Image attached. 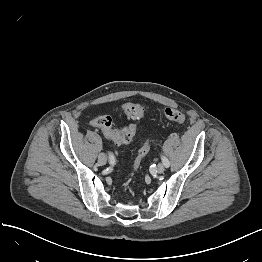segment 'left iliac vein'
Wrapping results in <instances>:
<instances>
[{
	"mask_svg": "<svg viewBox=\"0 0 262 262\" xmlns=\"http://www.w3.org/2000/svg\"><path fill=\"white\" fill-rule=\"evenodd\" d=\"M164 171H165V165L163 163H159L157 166V172L161 174Z\"/></svg>",
	"mask_w": 262,
	"mask_h": 262,
	"instance_id": "left-iliac-vein-1",
	"label": "left iliac vein"
}]
</instances>
